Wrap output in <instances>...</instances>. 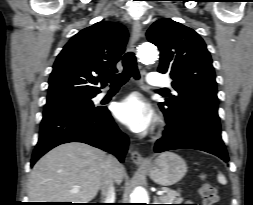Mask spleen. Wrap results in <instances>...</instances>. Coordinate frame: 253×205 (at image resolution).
I'll list each match as a JSON object with an SVG mask.
<instances>
[{"label":"spleen","mask_w":253,"mask_h":205,"mask_svg":"<svg viewBox=\"0 0 253 205\" xmlns=\"http://www.w3.org/2000/svg\"><path fill=\"white\" fill-rule=\"evenodd\" d=\"M217 179H218V182L223 185L227 183L226 177L222 173L218 174Z\"/></svg>","instance_id":"obj_1"}]
</instances>
